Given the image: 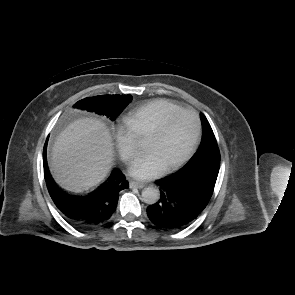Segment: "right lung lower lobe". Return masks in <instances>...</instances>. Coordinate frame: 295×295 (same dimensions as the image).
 Here are the masks:
<instances>
[{
	"label": "right lung lower lobe",
	"mask_w": 295,
	"mask_h": 295,
	"mask_svg": "<svg viewBox=\"0 0 295 295\" xmlns=\"http://www.w3.org/2000/svg\"><path fill=\"white\" fill-rule=\"evenodd\" d=\"M43 150L44 177L50 196L64 218L80 229H90L105 223L113 214L119 192L129 187L123 173L114 170L106 182L88 196L70 195L60 190L52 181Z\"/></svg>",
	"instance_id": "right-lung-lower-lobe-1"
}]
</instances>
